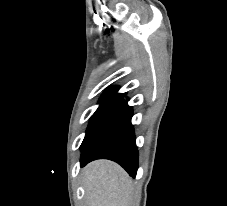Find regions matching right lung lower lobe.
I'll return each mask as SVG.
<instances>
[{
	"label": "right lung lower lobe",
	"instance_id": "1",
	"mask_svg": "<svg viewBox=\"0 0 227 206\" xmlns=\"http://www.w3.org/2000/svg\"><path fill=\"white\" fill-rule=\"evenodd\" d=\"M132 108L123 98L99 120L81 145L80 166L95 159H110L120 164L130 176L138 169V150L131 124Z\"/></svg>",
	"mask_w": 227,
	"mask_h": 206
}]
</instances>
